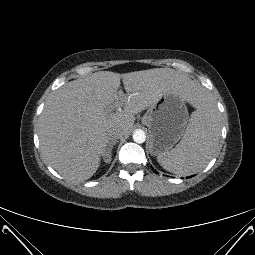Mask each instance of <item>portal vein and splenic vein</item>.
I'll list each match as a JSON object with an SVG mask.
<instances>
[{"label":"portal vein and splenic vein","instance_id":"portal-vein-and-splenic-vein-1","mask_svg":"<svg viewBox=\"0 0 255 255\" xmlns=\"http://www.w3.org/2000/svg\"><path fill=\"white\" fill-rule=\"evenodd\" d=\"M109 110L111 111V110H112V108H109ZM118 110H121V108H120V107H118Z\"/></svg>","mask_w":255,"mask_h":255}]
</instances>
